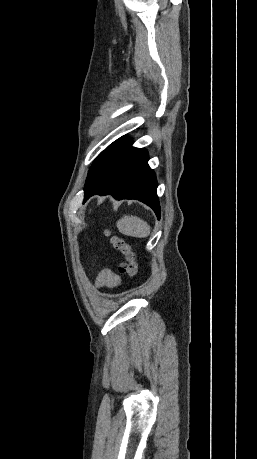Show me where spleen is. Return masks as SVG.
Listing matches in <instances>:
<instances>
[{
    "label": "spleen",
    "mask_w": 257,
    "mask_h": 459,
    "mask_svg": "<svg viewBox=\"0 0 257 459\" xmlns=\"http://www.w3.org/2000/svg\"><path fill=\"white\" fill-rule=\"evenodd\" d=\"M116 225L119 232L126 236L145 238L150 234V226L137 216L125 215L117 221Z\"/></svg>",
    "instance_id": "obj_1"
}]
</instances>
